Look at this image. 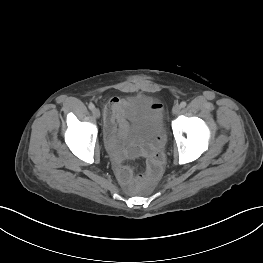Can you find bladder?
Returning <instances> with one entry per match:
<instances>
[{"label": "bladder", "instance_id": "1", "mask_svg": "<svg viewBox=\"0 0 263 263\" xmlns=\"http://www.w3.org/2000/svg\"><path fill=\"white\" fill-rule=\"evenodd\" d=\"M125 113L126 127L132 130L137 140H151L161 127V114L146 97L131 100L125 108Z\"/></svg>", "mask_w": 263, "mask_h": 263}]
</instances>
